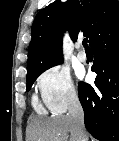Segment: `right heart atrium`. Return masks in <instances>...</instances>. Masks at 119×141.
I'll return each instance as SVG.
<instances>
[{"instance_id":"d8ad5b80","label":"right heart atrium","mask_w":119,"mask_h":141,"mask_svg":"<svg viewBox=\"0 0 119 141\" xmlns=\"http://www.w3.org/2000/svg\"><path fill=\"white\" fill-rule=\"evenodd\" d=\"M37 87L43 104L53 113L64 112L78 100L70 73L60 65H53L41 73Z\"/></svg>"}]
</instances>
